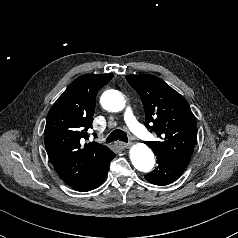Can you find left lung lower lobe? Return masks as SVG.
<instances>
[{
    "mask_svg": "<svg viewBox=\"0 0 238 238\" xmlns=\"http://www.w3.org/2000/svg\"><path fill=\"white\" fill-rule=\"evenodd\" d=\"M157 156V168L145 175V179L155 185H168L178 179L184 172L188 161L166 155Z\"/></svg>",
    "mask_w": 238,
    "mask_h": 238,
    "instance_id": "1",
    "label": "left lung lower lobe"
}]
</instances>
